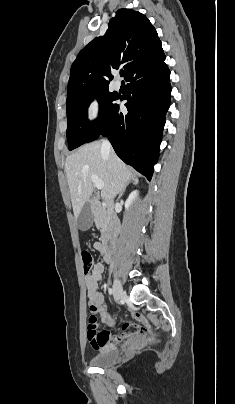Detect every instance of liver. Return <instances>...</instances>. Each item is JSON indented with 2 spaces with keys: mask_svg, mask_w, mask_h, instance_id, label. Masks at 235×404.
Returning <instances> with one entry per match:
<instances>
[{
  "mask_svg": "<svg viewBox=\"0 0 235 404\" xmlns=\"http://www.w3.org/2000/svg\"><path fill=\"white\" fill-rule=\"evenodd\" d=\"M65 172L75 218L93 193L92 175L103 181L101 197L105 201L126 188L134 177L131 169L112 150H102L100 141L85 144L69 155Z\"/></svg>",
  "mask_w": 235,
  "mask_h": 404,
  "instance_id": "obj_1",
  "label": "liver"
}]
</instances>
